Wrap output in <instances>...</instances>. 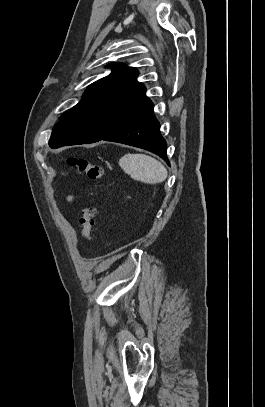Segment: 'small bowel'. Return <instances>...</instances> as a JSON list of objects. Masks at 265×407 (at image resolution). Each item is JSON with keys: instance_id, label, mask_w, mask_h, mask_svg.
<instances>
[{"instance_id": "obj_1", "label": "small bowel", "mask_w": 265, "mask_h": 407, "mask_svg": "<svg viewBox=\"0 0 265 407\" xmlns=\"http://www.w3.org/2000/svg\"><path fill=\"white\" fill-rule=\"evenodd\" d=\"M68 200H69V201H73V197H71V196L68 197Z\"/></svg>"}]
</instances>
